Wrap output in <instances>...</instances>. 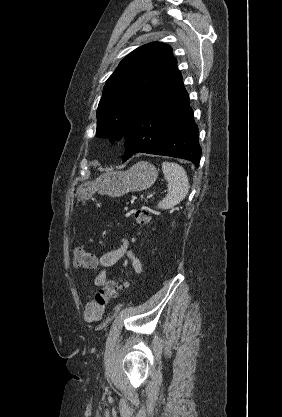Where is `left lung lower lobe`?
<instances>
[{"label": "left lung lower lobe", "mask_w": 282, "mask_h": 417, "mask_svg": "<svg viewBox=\"0 0 282 417\" xmlns=\"http://www.w3.org/2000/svg\"><path fill=\"white\" fill-rule=\"evenodd\" d=\"M123 138V161L143 152L187 159L198 167V127L176 64L134 111Z\"/></svg>", "instance_id": "left-lung-lower-lobe-1"}]
</instances>
